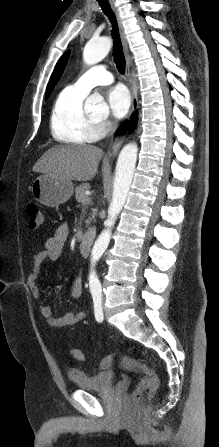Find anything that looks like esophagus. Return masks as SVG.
Returning a JSON list of instances; mask_svg holds the SVG:
<instances>
[{"label":"esophagus","mask_w":219,"mask_h":447,"mask_svg":"<svg viewBox=\"0 0 219 447\" xmlns=\"http://www.w3.org/2000/svg\"><path fill=\"white\" fill-rule=\"evenodd\" d=\"M109 2H110L111 8H112V10L116 16L117 22H118L120 37H121V41H122V45H123V49H124V53H125V57H126V75L129 80V85H130L131 94H132L131 113H133L138 108V97H137V90H136L135 86L133 85V82H132L131 76H130V58H129V54H128V42H127L124 26H123L122 19L120 17L118 8L115 5L114 0H109ZM123 138H124V136L118 137L112 142V144L110 145V148L108 150V155L110 157H114L117 154V152L120 149L121 144L123 142Z\"/></svg>","instance_id":"obj_1"}]
</instances>
